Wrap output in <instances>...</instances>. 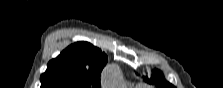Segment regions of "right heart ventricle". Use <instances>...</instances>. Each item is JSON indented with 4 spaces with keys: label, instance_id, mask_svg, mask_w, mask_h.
Wrapping results in <instances>:
<instances>
[{
    "label": "right heart ventricle",
    "instance_id": "right-heart-ventricle-1",
    "mask_svg": "<svg viewBox=\"0 0 223 88\" xmlns=\"http://www.w3.org/2000/svg\"><path fill=\"white\" fill-rule=\"evenodd\" d=\"M136 88H147V87H145V86H143V85H139V86H137Z\"/></svg>",
    "mask_w": 223,
    "mask_h": 88
}]
</instances>
